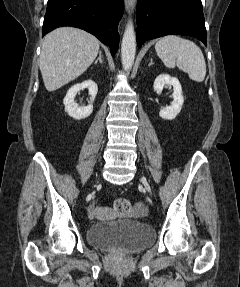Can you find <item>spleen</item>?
<instances>
[{"mask_svg": "<svg viewBox=\"0 0 240 287\" xmlns=\"http://www.w3.org/2000/svg\"><path fill=\"white\" fill-rule=\"evenodd\" d=\"M158 57L168 68L176 66L188 73L189 78L202 82L206 75V63L201 49L191 40L177 35H167L155 44Z\"/></svg>", "mask_w": 240, "mask_h": 287, "instance_id": "3e777b00", "label": "spleen"}]
</instances>
